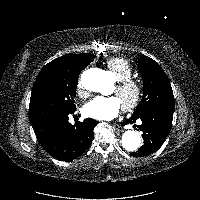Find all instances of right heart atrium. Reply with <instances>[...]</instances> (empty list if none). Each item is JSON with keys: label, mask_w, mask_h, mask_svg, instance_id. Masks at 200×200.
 I'll list each match as a JSON object with an SVG mask.
<instances>
[{"label": "right heart atrium", "mask_w": 200, "mask_h": 200, "mask_svg": "<svg viewBox=\"0 0 200 200\" xmlns=\"http://www.w3.org/2000/svg\"><path fill=\"white\" fill-rule=\"evenodd\" d=\"M77 86H78V91H79V93H80V92H81V89H82V82H81V80L78 81Z\"/></svg>", "instance_id": "d8ad5b80"}]
</instances>
